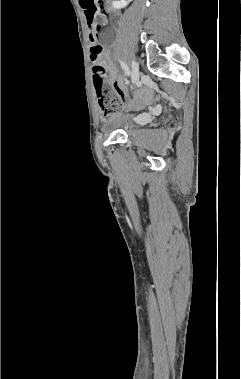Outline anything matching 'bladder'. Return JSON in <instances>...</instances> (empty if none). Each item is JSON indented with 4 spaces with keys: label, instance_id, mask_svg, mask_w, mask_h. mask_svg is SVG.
Wrapping results in <instances>:
<instances>
[{
    "label": "bladder",
    "instance_id": "bladder-1",
    "mask_svg": "<svg viewBox=\"0 0 241 379\" xmlns=\"http://www.w3.org/2000/svg\"><path fill=\"white\" fill-rule=\"evenodd\" d=\"M143 125L140 121V115L134 113H123L114 117L105 127L106 131H123L131 133Z\"/></svg>",
    "mask_w": 241,
    "mask_h": 379
}]
</instances>
